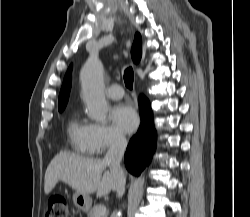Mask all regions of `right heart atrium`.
Segmentation results:
<instances>
[{
    "label": "right heart atrium",
    "mask_w": 250,
    "mask_h": 217,
    "mask_svg": "<svg viewBox=\"0 0 250 217\" xmlns=\"http://www.w3.org/2000/svg\"><path fill=\"white\" fill-rule=\"evenodd\" d=\"M126 138L113 126L101 122L89 124V144L91 153L101 155L105 151L122 147Z\"/></svg>",
    "instance_id": "obj_1"
}]
</instances>
